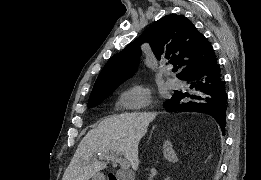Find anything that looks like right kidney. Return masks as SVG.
Returning <instances> with one entry per match:
<instances>
[{"instance_id": "right-kidney-1", "label": "right kidney", "mask_w": 261, "mask_h": 180, "mask_svg": "<svg viewBox=\"0 0 261 180\" xmlns=\"http://www.w3.org/2000/svg\"><path fill=\"white\" fill-rule=\"evenodd\" d=\"M163 152L166 160H169V162H178V158L172 148L171 142H165Z\"/></svg>"}]
</instances>
